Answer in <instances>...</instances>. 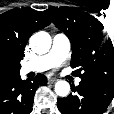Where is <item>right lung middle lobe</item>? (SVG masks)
I'll return each mask as SVG.
<instances>
[{"instance_id": "obj_1", "label": "right lung middle lobe", "mask_w": 114, "mask_h": 114, "mask_svg": "<svg viewBox=\"0 0 114 114\" xmlns=\"http://www.w3.org/2000/svg\"><path fill=\"white\" fill-rule=\"evenodd\" d=\"M16 73H18V71H14V70H7V69H2L0 68V83L2 81L7 80L8 78L12 77L13 75H15Z\"/></svg>"}]
</instances>
